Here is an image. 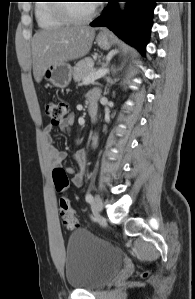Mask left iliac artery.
Returning <instances> with one entry per match:
<instances>
[{
  "label": "left iliac artery",
  "mask_w": 195,
  "mask_h": 299,
  "mask_svg": "<svg viewBox=\"0 0 195 299\" xmlns=\"http://www.w3.org/2000/svg\"><path fill=\"white\" fill-rule=\"evenodd\" d=\"M85 199L87 202H92L93 201V196L90 193H87L85 196Z\"/></svg>",
  "instance_id": "left-iliac-artery-1"
}]
</instances>
